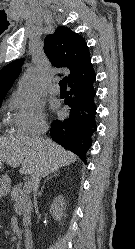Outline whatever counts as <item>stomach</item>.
Segmentation results:
<instances>
[{
	"mask_svg": "<svg viewBox=\"0 0 135 249\" xmlns=\"http://www.w3.org/2000/svg\"><path fill=\"white\" fill-rule=\"evenodd\" d=\"M2 168V163L0 162V169Z\"/></svg>",
	"mask_w": 135,
	"mask_h": 249,
	"instance_id": "1",
	"label": "stomach"
}]
</instances>
